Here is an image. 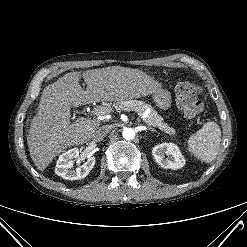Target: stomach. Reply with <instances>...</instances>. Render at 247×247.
<instances>
[{"label": "stomach", "mask_w": 247, "mask_h": 247, "mask_svg": "<svg viewBox=\"0 0 247 247\" xmlns=\"http://www.w3.org/2000/svg\"><path fill=\"white\" fill-rule=\"evenodd\" d=\"M153 100L155 104L163 110H167L171 106V94L166 90L159 89L155 91Z\"/></svg>", "instance_id": "stomach-1"}]
</instances>
